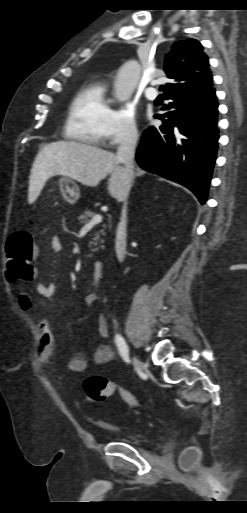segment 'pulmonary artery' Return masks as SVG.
Listing matches in <instances>:
<instances>
[{"label":"pulmonary artery","mask_w":247,"mask_h":513,"mask_svg":"<svg viewBox=\"0 0 247 513\" xmlns=\"http://www.w3.org/2000/svg\"><path fill=\"white\" fill-rule=\"evenodd\" d=\"M158 83V81H152V85H156ZM145 96L149 99V100H155L158 96L157 92H156V89L154 87H149L145 90Z\"/></svg>","instance_id":"pulmonary-artery-1"}]
</instances>
